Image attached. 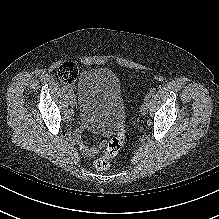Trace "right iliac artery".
<instances>
[{"instance_id": "obj_1", "label": "right iliac artery", "mask_w": 219, "mask_h": 219, "mask_svg": "<svg viewBox=\"0 0 219 219\" xmlns=\"http://www.w3.org/2000/svg\"><path fill=\"white\" fill-rule=\"evenodd\" d=\"M68 92L70 95L73 94L71 89H68Z\"/></svg>"}]
</instances>
